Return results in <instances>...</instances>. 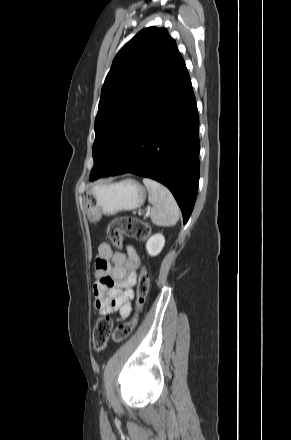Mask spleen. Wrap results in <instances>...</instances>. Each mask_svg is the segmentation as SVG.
<instances>
[{
    "mask_svg": "<svg viewBox=\"0 0 291 440\" xmlns=\"http://www.w3.org/2000/svg\"><path fill=\"white\" fill-rule=\"evenodd\" d=\"M143 183L149 191L148 201L153 205L149 215L152 223L160 226L175 225L179 219V207L172 193L150 178H144Z\"/></svg>",
    "mask_w": 291,
    "mask_h": 440,
    "instance_id": "1",
    "label": "spleen"
}]
</instances>
